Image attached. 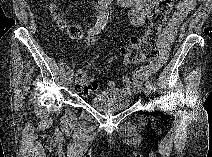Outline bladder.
I'll return each instance as SVG.
<instances>
[{"label":"bladder","instance_id":"1","mask_svg":"<svg viewBox=\"0 0 212 157\" xmlns=\"http://www.w3.org/2000/svg\"><path fill=\"white\" fill-rule=\"evenodd\" d=\"M134 99L132 93L117 88H108L91 95L90 105L100 112H111L129 107Z\"/></svg>","mask_w":212,"mask_h":157}]
</instances>
